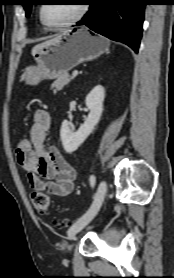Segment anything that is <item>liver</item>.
<instances>
[{
    "label": "liver",
    "mask_w": 174,
    "mask_h": 278,
    "mask_svg": "<svg viewBox=\"0 0 174 278\" xmlns=\"http://www.w3.org/2000/svg\"><path fill=\"white\" fill-rule=\"evenodd\" d=\"M52 41H53V40H49V41H45V42H43V43H40V44L36 45V46L33 47V49H32V54L35 53V51H36L37 49H39L40 47H42V46H44V45H46V44H49V43L52 42Z\"/></svg>",
    "instance_id": "1"
}]
</instances>
